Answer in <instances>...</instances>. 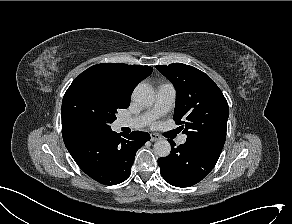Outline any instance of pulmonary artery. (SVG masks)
I'll list each match as a JSON object with an SVG mask.
<instances>
[{
	"label": "pulmonary artery",
	"instance_id": "1",
	"mask_svg": "<svg viewBox=\"0 0 292 224\" xmlns=\"http://www.w3.org/2000/svg\"><path fill=\"white\" fill-rule=\"evenodd\" d=\"M175 96L176 90L172 84L166 83L159 85L157 88L156 101L153 107L140 116L119 119L118 126L141 128L150 124L153 120L164 115L172 108ZM178 141L180 144H184L186 142V136H180Z\"/></svg>",
	"mask_w": 292,
	"mask_h": 224
}]
</instances>
